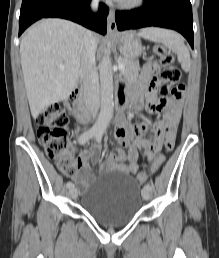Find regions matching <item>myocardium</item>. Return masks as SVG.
I'll list each match as a JSON object with an SVG mask.
<instances>
[{
  "instance_id": "1",
  "label": "myocardium",
  "mask_w": 219,
  "mask_h": 258,
  "mask_svg": "<svg viewBox=\"0 0 219 258\" xmlns=\"http://www.w3.org/2000/svg\"><path fill=\"white\" fill-rule=\"evenodd\" d=\"M145 0H121L120 7L124 9H135L140 7Z\"/></svg>"
}]
</instances>
